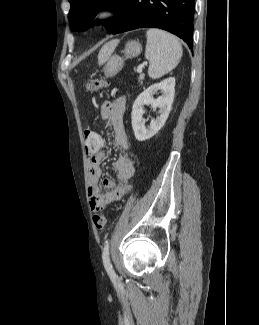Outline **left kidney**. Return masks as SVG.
Segmentation results:
<instances>
[{"mask_svg":"<svg viewBox=\"0 0 259 325\" xmlns=\"http://www.w3.org/2000/svg\"><path fill=\"white\" fill-rule=\"evenodd\" d=\"M159 90L163 92L157 99L153 98ZM175 94V78H167L160 83L151 85L144 90L135 100L132 108V128L138 141H145L154 136L165 124L172 108ZM151 104L153 108H160V115L152 119L148 128L142 119L144 105Z\"/></svg>","mask_w":259,"mask_h":325,"instance_id":"5707ae66","label":"left kidney"}]
</instances>
